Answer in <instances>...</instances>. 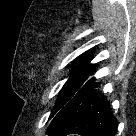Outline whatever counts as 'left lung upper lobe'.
Here are the masks:
<instances>
[{"label":"left lung upper lobe","mask_w":136,"mask_h":136,"mask_svg":"<svg viewBox=\"0 0 136 136\" xmlns=\"http://www.w3.org/2000/svg\"><path fill=\"white\" fill-rule=\"evenodd\" d=\"M87 57H90L89 51L77 57V60L80 62L77 64L76 68L71 73L70 78L60 91V97L58 98L55 107L52 109L49 119L53 118L73 98L89 76L94 74L96 65L89 64V62L86 61Z\"/></svg>","instance_id":"5c2ea615"}]
</instances>
